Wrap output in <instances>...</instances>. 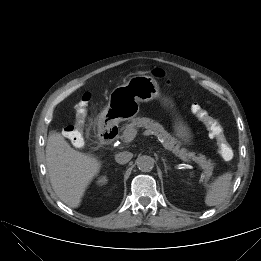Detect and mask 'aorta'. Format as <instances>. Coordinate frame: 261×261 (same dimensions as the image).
Segmentation results:
<instances>
[{
    "mask_svg": "<svg viewBox=\"0 0 261 261\" xmlns=\"http://www.w3.org/2000/svg\"><path fill=\"white\" fill-rule=\"evenodd\" d=\"M154 162L155 160L148 155H141L136 159L137 167L142 172L151 171L154 167Z\"/></svg>",
    "mask_w": 261,
    "mask_h": 261,
    "instance_id": "obj_1",
    "label": "aorta"
}]
</instances>
